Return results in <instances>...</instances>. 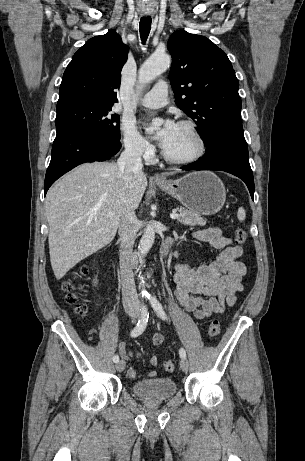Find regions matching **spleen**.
Returning <instances> with one entry per match:
<instances>
[{
  "label": "spleen",
  "instance_id": "obj_1",
  "mask_svg": "<svg viewBox=\"0 0 305 461\" xmlns=\"http://www.w3.org/2000/svg\"><path fill=\"white\" fill-rule=\"evenodd\" d=\"M237 217L239 221H244L246 217V213L243 207H240L237 212Z\"/></svg>",
  "mask_w": 305,
  "mask_h": 461
}]
</instances>
